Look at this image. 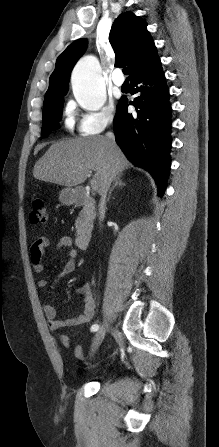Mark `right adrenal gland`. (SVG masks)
Segmentation results:
<instances>
[{
    "label": "right adrenal gland",
    "instance_id": "1",
    "mask_svg": "<svg viewBox=\"0 0 219 447\" xmlns=\"http://www.w3.org/2000/svg\"><path fill=\"white\" fill-rule=\"evenodd\" d=\"M121 177H122V175L119 174V175H117V177L114 179L115 183H114V185L112 186V188H111L110 191H109L107 201L110 200L112 191L114 190V188H115L116 186H125V183L122 181Z\"/></svg>",
    "mask_w": 219,
    "mask_h": 447
}]
</instances>
